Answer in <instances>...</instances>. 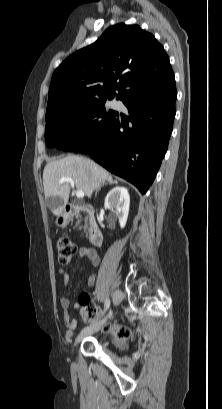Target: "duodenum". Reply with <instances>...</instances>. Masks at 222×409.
<instances>
[{"mask_svg":"<svg viewBox=\"0 0 222 409\" xmlns=\"http://www.w3.org/2000/svg\"><path fill=\"white\" fill-rule=\"evenodd\" d=\"M79 212H84L87 216L88 238L91 245L100 247L103 242L102 232L94 217V209L90 205H67L65 216L70 219Z\"/></svg>","mask_w":222,"mask_h":409,"instance_id":"410a0bca","label":"duodenum"}]
</instances>
